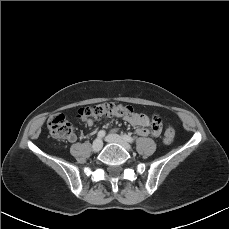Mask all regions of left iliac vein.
Here are the masks:
<instances>
[{"instance_id": "4c4485c4", "label": "left iliac vein", "mask_w": 229, "mask_h": 229, "mask_svg": "<svg viewBox=\"0 0 229 229\" xmlns=\"http://www.w3.org/2000/svg\"><path fill=\"white\" fill-rule=\"evenodd\" d=\"M105 141L108 143H117L124 147L126 150H131V145L126 142L122 137L117 134H109L105 137Z\"/></svg>"}]
</instances>
